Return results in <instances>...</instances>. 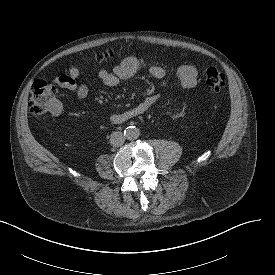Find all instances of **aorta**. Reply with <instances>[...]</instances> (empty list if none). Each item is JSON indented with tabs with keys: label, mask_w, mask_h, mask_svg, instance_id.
I'll return each instance as SVG.
<instances>
[{
	"label": "aorta",
	"mask_w": 275,
	"mask_h": 275,
	"mask_svg": "<svg viewBox=\"0 0 275 275\" xmlns=\"http://www.w3.org/2000/svg\"><path fill=\"white\" fill-rule=\"evenodd\" d=\"M124 135L128 140H135L139 137L140 131L135 126H129L124 130Z\"/></svg>",
	"instance_id": "aorta-1"
}]
</instances>
